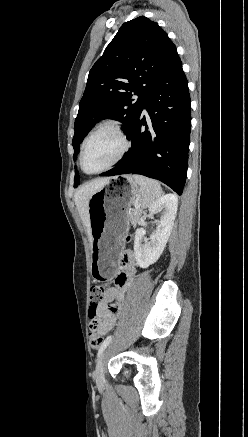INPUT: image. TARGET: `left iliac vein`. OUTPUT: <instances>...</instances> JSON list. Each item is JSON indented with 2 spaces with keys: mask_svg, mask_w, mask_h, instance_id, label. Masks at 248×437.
Here are the masks:
<instances>
[{
  "mask_svg": "<svg viewBox=\"0 0 248 437\" xmlns=\"http://www.w3.org/2000/svg\"><path fill=\"white\" fill-rule=\"evenodd\" d=\"M106 352L102 353L96 363V369L93 373V377L98 386H101L104 383V361H105Z\"/></svg>",
  "mask_w": 248,
  "mask_h": 437,
  "instance_id": "4c4485c4",
  "label": "left iliac vein"
}]
</instances>
